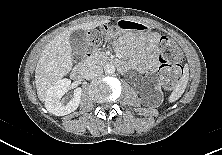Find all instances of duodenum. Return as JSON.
Instances as JSON below:
<instances>
[{
	"instance_id": "410a0bca",
	"label": "duodenum",
	"mask_w": 222,
	"mask_h": 155,
	"mask_svg": "<svg viewBox=\"0 0 222 155\" xmlns=\"http://www.w3.org/2000/svg\"><path fill=\"white\" fill-rule=\"evenodd\" d=\"M92 58L91 53H86L83 61L78 63L72 70L71 77L74 80H81L87 67V62ZM122 66V65H120Z\"/></svg>"
}]
</instances>
